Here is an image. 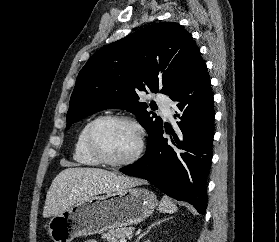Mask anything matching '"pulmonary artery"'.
<instances>
[{"label": "pulmonary artery", "mask_w": 279, "mask_h": 242, "mask_svg": "<svg viewBox=\"0 0 279 242\" xmlns=\"http://www.w3.org/2000/svg\"><path fill=\"white\" fill-rule=\"evenodd\" d=\"M155 99L163 114L168 118L171 117L172 110L170 99L163 94H158Z\"/></svg>", "instance_id": "obj_1"}]
</instances>
